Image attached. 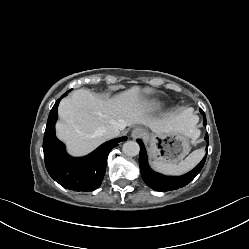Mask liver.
<instances>
[{
    "mask_svg": "<svg viewBox=\"0 0 249 249\" xmlns=\"http://www.w3.org/2000/svg\"><path fill=\"white\" fill-rule=\"evenodd\" d=\"M142 94L143 90L137 86L106 99L86 89L75 90L60 102V121L56 124L58 138L65 142L71 154L80 156L106 141L102 130L108 126L142 124L157 133L183 130L193 139L200 136V131L195 129L198 117L192 115L191 109L154 119L147 114Z\"/></svg>",
    "mask_w": 249,
    "mask_h": 249,
    "instance_id": "liver-1",
    "label": "liver"
}]
</instances>
